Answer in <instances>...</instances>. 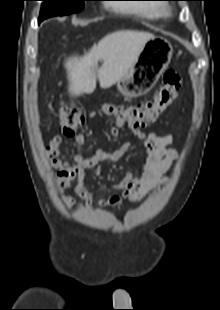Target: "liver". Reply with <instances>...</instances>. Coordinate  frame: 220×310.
I'll return each instance as SVG.
<instances>
[{"mask_svg": "<svg viewBox=\"0 0 220 310\" xmlns=\"http://www.w3.org/2000/svg\"><path fill=\"white\" fill-rule=\"evenodd\" d=\"M149 32L121 30L106 35L82 57L74 56L65 61L69 92L79 96L91 94L96 88H109L121 79L138 58L144 44L153 38ZM102 65L98 68V61Z\"/></svg>", "mask_w": 220, "mask_h": 310, "instance_id": "obj_1", "label": "liver"}]
</instances>
